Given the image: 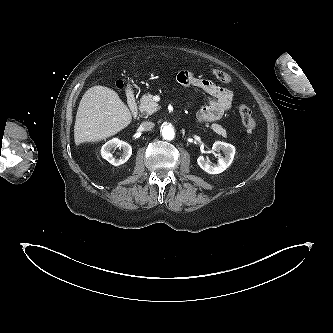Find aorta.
<instances>
[{
	"label": "aorta",
	"instance_id": "1",
	"mask_svg": "<svg viewBox=\"0 0 333 333\" xmlns=\"http://www.w3.org/2000/svg\"><path fill=\"white\" fill-rule=\"evenodd\" d=\"M162 136L167 140H172L175 136V131L171 125H164L162 128Z\"/></svg>",
	"mask_w": 333,
	"mask_h": 333
}]
</instances>
